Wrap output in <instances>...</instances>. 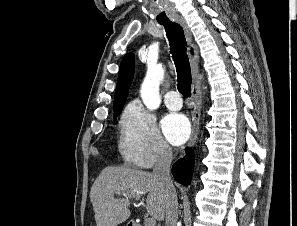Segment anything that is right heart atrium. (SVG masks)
Here are the masks:
<instances>
[{"label": "right heart atrium", "mask_w": 297, "mask_h": 226, "mask_svg": "<svg viewBox=\"0 0 297 226\" xmlns=\"http://www.w3.org/2000/svg\"><path fill=\"white\" fill-rule=\"evenodd\" d=\"M119 149L128 163L139 168H151L172 155L154 115L137 101L130 103L122 114Z\"/></svg>", "instance_id": "obj_1"}]
</instances>
